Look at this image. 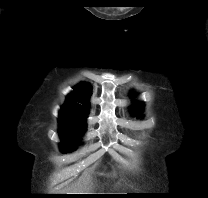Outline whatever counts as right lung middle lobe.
Segmentation results:
<instances>
[{"mask_svg": "<svg viewBox=\"0 0 208 198\" xmlns=\"http://www.w3.org/2000/svg\"><path fill=\"white\" fill-rule=\"evenodd\" d=\"M85 123L75 120L59 119L60 149L63 153L75 150V144L83 134Z\"/></svg>", "mask_w": 208, "mask_h": 198, "instance_id": "right-lung-middle-lobe-1", "label": "right lung middle lobe"}]
</instances>
